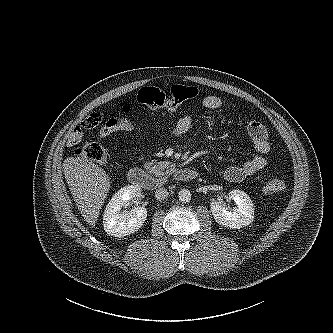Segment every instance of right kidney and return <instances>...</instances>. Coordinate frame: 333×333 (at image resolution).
<instances>
[{"instance_id": "obj_1", "label": "right kidney", "mask_w": 333, "mask_h": 333, "mask_svg": "<svg viewBox=\"0 0 333 333\" xmlns=\"http://www.w3.org/2000/svg\"><path fill=\"white\" fill-rule=\"evenodd\" d=\"M138 191H140L139 187L128 185L121 188L111 198L103 215V226L108 235L121 238L133 234L142 227L147 218L146 208L121 210Z\"/></svg>"}]
</instances>
